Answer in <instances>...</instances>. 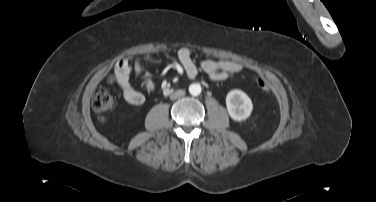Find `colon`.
Here are the masks:
<instances>
[{
	"label": "colon",
	"instance_id": "1",
	"mask_svg": "<svg viewBox=\"0 0 376 202\" xmlns=\"http://www.w3.org/2000/svg\"><path fill=\"white\" fill-rule=\"evenodd\" d=\"M257 86L263 90L268 91L270 84L264 77L257 78ZM92 108L98 113L102 120H105V114L109 112L114 105V98L106 88H99L92 97Z\"/></svg>",
	"mask_w": 376,
	"mask_h": 202
}]
</instances>
